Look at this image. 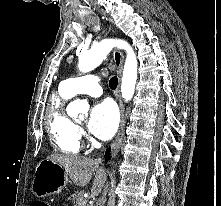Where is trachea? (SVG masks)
<instances>
[{"label":"trachea","mask_w":221,"mask_h":206,"mask_svg":"<svg viewBox=\"0 0 221 206\" xmlns=\"http://www.w3.org/2000/svg\"><path fill=\"white\" fill-rule=\"evenodd\" d=\"M109 85L112 90L116 89L118 85V78L116 76L112 77L109 81Z\"/></svg>","instance_id":"1"}]
</instances>
